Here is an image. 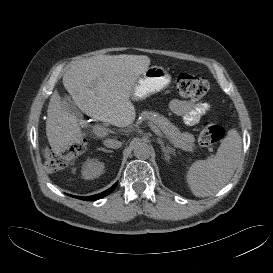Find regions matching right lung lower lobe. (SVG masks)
Listing matches in <instances>:
<instances>
[{"mask_svg":"<svg viewBox=\"0 0 273 273\" xmlns=\"http://www.w3.org/2000/svg\"><path fill=\"white\" fill-rule=\"evenodd\" d=\"M116 186H117V183L114 184L111 188H109L106 191H104V192H102L100 194H97V195L88 196V197L75 196V198H79V199L87 200V201H95V200H98V199H100V198H102L104 196H107L110 192H112L115 189Z\"/></svg>","mask_w":273,"mask_h":273,"instance_id":"right-lung-lower-lobe-1","label":"right lung lower lobe"}]
</instances>
